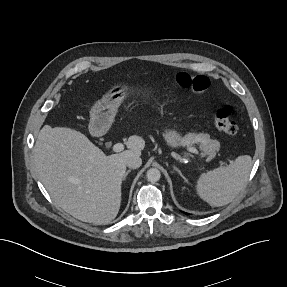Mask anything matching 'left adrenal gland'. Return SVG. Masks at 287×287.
Masks as SVG:
<instances>
[{
  "label": "left adrenal gland",
  "mask_w": 287,
  "mask_h": 287,
  "mask_svg": "<svg viewBox=\"0 0 287 287\" xmlns=\"http://www.w3.org/2000/svg\"><path fill=\"white\" fill-rule=\"evenodd\" d=\"M174 170L178 172V174L186 181L185 176L182 174V172L180 171V169H178L176 166H173Z\"/></svg>",
  "instance_id": "a2214340"
}]
</instances>
